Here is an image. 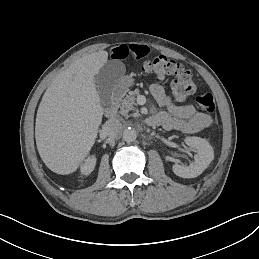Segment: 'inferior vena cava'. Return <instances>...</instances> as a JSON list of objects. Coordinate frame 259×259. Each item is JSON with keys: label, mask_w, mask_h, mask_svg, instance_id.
<instances>
[{"label": "inferior vena cava", "mask_w": 259, "mask_h": 259, "mask_svg": "<svg viewBox=\"0 0 259 259\" xmlns=\"http://www.w3.org/2000/svg\"><path fill=\"white\" fill-rule=\"evenodd\" d=\"M105 129L109 135L116 136L122 129V123L118 118L112 117L106 121Z\"/></svg>", "instance_id": "602c4592"}]
</instances>
